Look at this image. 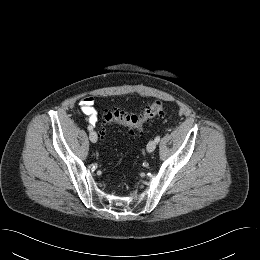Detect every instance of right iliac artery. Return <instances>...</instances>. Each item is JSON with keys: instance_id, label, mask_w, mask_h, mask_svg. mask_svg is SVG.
I'll return each mask as SVG.
<instances>
[{"instance_id": "1", "label": "right iliac artery", "mask_w": 260, "mask_h": 260, "mask_svg": "<svg viewBox=\"0 0 260 260\" xmlns=\"http://www.w3.org/2000/svg\"><path fill=\"white\" fill-rule=\"evenodd\" d=\"M92 129H93L92 126L89 125L88 130L91 131Z\"/></svg>"}]
</instances>
